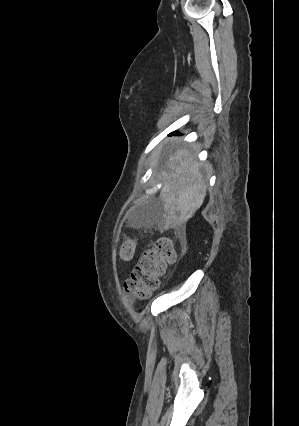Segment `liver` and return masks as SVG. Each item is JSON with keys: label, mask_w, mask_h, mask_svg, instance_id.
I'll return each instance as SVG.
<instances>
[{"label": "liver", "mask_w": 299, "mask_h": 426, "mask_svg": "<svg viewBox=\"0 0 299 426\" xmlns=\"http://www.w3.org/2000/svg\"><path fill=\"white\" fill-rule=\"evenodd\" d=\"M174 149V154L168 156L170 173L159 195L163 205V216L158 223L161 232L186 224L206 197L207 186L197 168L196 155L179 143Z\"/></svg>", "instance_id": "obj_1"}]
</instances>
